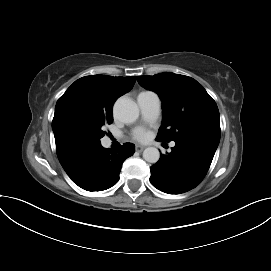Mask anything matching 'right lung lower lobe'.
<instances>
[{
  "instance_id": "1",
  "label": "right lung lower lobe",
  "mask_w": 271,
  "mask_h": 271,
  "mask_svg": "<svg viewBox=\"0 0 271 271\" xmlns=\"http://www.w3.org/2000/svg\"><path fill=\"white\" fill-rule=\"evenodd\" d=\"M134 152L135 146L131 143L120 145L115 151L100 145L75 155L62 167L71 180L84 190H106L119 180L122 163Z\"/></svg>"
}]
</instances>
